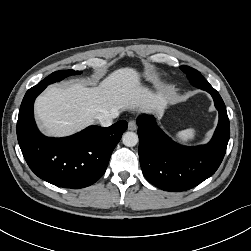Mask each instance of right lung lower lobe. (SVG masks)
I'll return each mask as SVG.
<instances>
[{
  "label": "right lung lower lobe",
  "instance_id": "1",
  "mask_svg": "<svg viewBox=\"0 0 251 251\" xmlns=\"http://www.w3.org/2000/svg\"><path fill=\"white\" fill-rule=\"evenodd\" d=\"M46 87L37 84L23 98L17 121L22 154L34 174L53 185L73 189L90 186L105 173L128 124L121 120L107 128L90 126L69 137H46L37 129L33 114L35 98Z\"/></svg>",
  "mask_w": 251,
  "mask_h": 251
}]
</instances>
